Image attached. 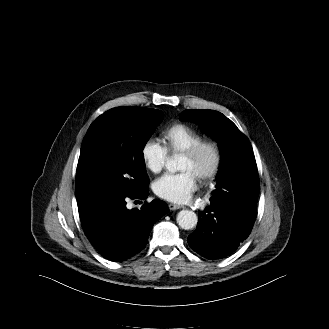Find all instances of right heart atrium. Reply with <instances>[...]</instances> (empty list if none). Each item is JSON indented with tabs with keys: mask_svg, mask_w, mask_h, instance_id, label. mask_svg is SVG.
Masks as SVG:
<instances>
[{
	"mask_svg": "<svg viewBox=\"0 0 329 329\" xmlns=\"http://www.w3.org/2000/svg\"><path fill=\"white\" fill-rule=\"evenodd\" d=\"M140 153L144 165L153 173L160 172L169 158L167 147L154 138L144 141Z\"/></svg>",
	"mask_w": 329,
	"mask_h": 329,
	"instance_id": "d8ad5b80",
	"label": "right heart atrium"
}]
</instances>
